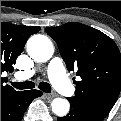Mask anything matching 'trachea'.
Instances as JSON below:
<instances>
[{"instance_id":"3493384b","label":"trachea","mask_w":121,"mask_h":121,"mask_svg":"<svg viewBox=\"0 0 121 121\" xmlns=\"http://www.w3.org/2000/svg\"><path fill=\"white\" fill-rule=\"evenodd\" d=\"M13 87L17 88V89H32L35 87L34 82L32 81H25V82H12L11 83ZM39 89H41L42 91L46 92V93H50L51 92V86L46 83V82H41L39 84Z\"/></svg>"}]
</instances>
